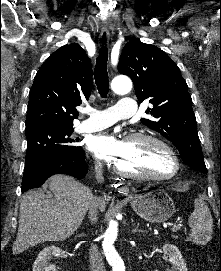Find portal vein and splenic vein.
Masks as SVG:
<instances>
[{
	"label": "portal vein and splenic vein",
	"instance_id": "1",
	"mask_svg": "<svg viewBox=\"0 0 221 271\" xmlns=\"http://www.w3.org/2000/svg\"><path fill=\"white\" fill-rule=\"evenodd\" d=\"M180 225H176V223H174L173 227H171L172 231H176V229H179Z\"/></svg>",
	"mask_w": 221,
	"mask_h": 271
}]
</instances>
